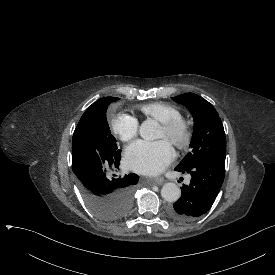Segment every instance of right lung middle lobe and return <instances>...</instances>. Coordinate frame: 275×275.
<instances>
[{"label":"right lung middle lobe","instance_id":"right-lung-middle-lobe-1","mask_svg":"<svg viewBox=\"0 0 275 275\" xmlns=\"http://www.w3.org/2000/svg\"><path fill=\"white\" fill-rule=\"evenodd\" d=\"M119 100L104 97L82 115L73 134L72 169L88 207L100 218L119 220L130 211L139 176L129 173L106 120L108 105Z\"/></svg>","mask_w":275,"mask_h":275}]
</instances>
